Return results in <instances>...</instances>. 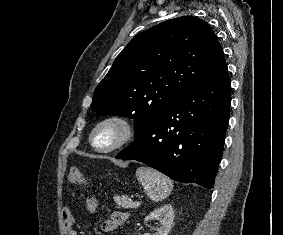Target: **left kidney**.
I'll use <instances>...</instances> for the list:
<instances>
[{
	"mask_svg": "<svg viewBox=\"0 0 283 235\" xmlns=\"http://www.w3.org/2000/svg\"><path fill=\"white\" fill-rule=\"evenodd\" d=\"M160 219L161 225L152 235H168L174 220V210L171 205H164L145 217V222L150 220ZM149 235V234H143Z\"/></svg>",
	"mask_w": 283,
	"mask_h": 235,
	"instance_id": "1",
	"label": "left kidney"
}]
</instances>
